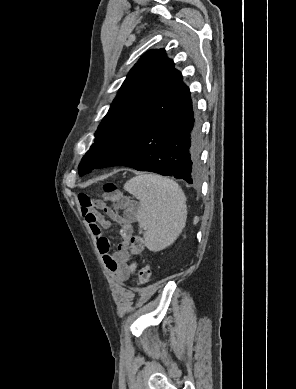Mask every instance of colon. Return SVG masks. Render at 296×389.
<instances>
[{
	"label": "colon",
	"mask_w": 296,
	"mask_h": 389,
	"mask_svg": "<svg viewBox=\"0 0 296 389\" xmlns=\"http://www.w3.org/2000/svg\"><path fill=\"white\" fill-rule=\"evenodd\" d=\"M104 191L107 194L106 199L111 202H119L122 197L117 193L116 186L113 183H107L104 185ZM144 249L143 238L139 235H134L129 240V250L134 256L139 255ZM151 267L146 265L139 269L138 279L139 284L142 286L147 285L151 279Z\"/></svg>",
	"instance_id": "obj_1"
}]
</instances>
